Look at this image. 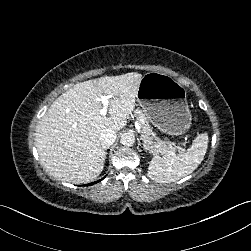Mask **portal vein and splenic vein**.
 Wrapping results in <instances>:
<instances>
[{"instance_id": "obj_1", "label": "portal vein and splenic vein", "mask_w": 251, "mask_h": 251, "mask_svg": "<svg viewBox=\"0 0 251 251\" xmlns=\"http://www.w3.org/2000/svg\"><path fill=\"white\" fill-rule=\"evenodd\" d=\"M112 98V95H102L100 97V101L103 104V108L100 110V115L101 116H105L107 114L108 111V107H109V99ZM135 128L140 131V125L138 123V121L135 122ZM170 145L172 147H175L177 150H179L180 152H186L188 150V147L186 145H182L179 142H177L176 140H172L170 142Z\"/></svg>"}]
</instances>
